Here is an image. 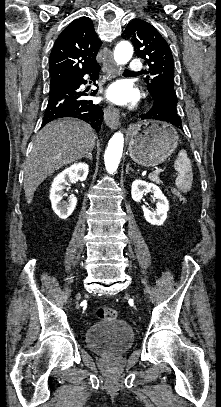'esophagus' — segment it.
Wrapping results in <instances>:
<instances>
[{
    "label": "esophagus",
    "instance_id": "1",
    "mask_svg": "<svg viewBox=\"0 0 221 407\" xmlns=\"http://www.w3.org/2000/svg\"><path fill=\"white\" fill-rule=\"evenodd\" d=\"M106 62L104 63V72L108 75L117 74L120 68L115 64L111 50H107ZM104 120L105 123L112 129H117L120 126L119 122V110L112 104H108L104 108Z\"/></svg>",
    "mask_w": 221,
    "mask_h": 407
}]
</instances>
